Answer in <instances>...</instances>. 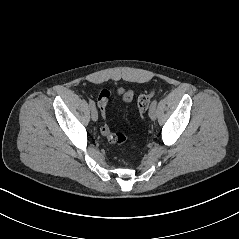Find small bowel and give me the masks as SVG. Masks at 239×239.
Masks as SVG:
<instances>
[{
  "label": "small bowel",
  "instance_id": "small-bowel-1",
  "mask_svg": "<svg viewBox=\"0 0 239 239\" xmlns=\"http://www.w3.org/2000/svg\"><path fill=\"white\" fill-rule=\"evenodd\" d=\"M118 96L126 103L130 104L133 101L134 94L131 90L120 88L118 90Z\"/></svg>",
  "mask_w": 239,
  "mask_h": 239
}]
</instances>
